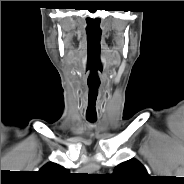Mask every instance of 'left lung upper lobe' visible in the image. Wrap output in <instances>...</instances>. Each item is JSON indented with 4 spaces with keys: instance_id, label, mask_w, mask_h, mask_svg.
Returning <instances> with one entry per match:
<instances>
[{
    "instance_id": "1",
    "label": "left lung upper lobe",
    "mask_w": 184,
    "mask_h": 184,
    "mask_svg": "<svg viewBox=\"0 0 184 184\" xmlns=\"http://www.w3.org/2000/svg\"><path fill=\"white\" fill-rule=\"evenodd\" d=\"M112 177L118 184H143L149 175L140 162L130 159L116 166Z\"/></svg>"
}]
</instances>
